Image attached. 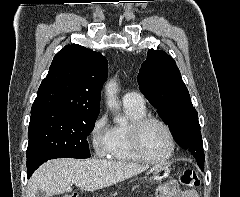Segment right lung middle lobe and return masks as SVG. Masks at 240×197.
Instances as JSON below:
<instances>
[{
  "instance_id": "obj_1",
  "label": "right lung middle lobe",
  "mask_w": 240,
  "mask_h": 197,
  "mask_svg": "<svg viewBox=\"0 0 240 197\" xmlns=\"http://www.w3.org/2000/svg\"><path fill=\"white\" fill-rule=\"evenodd\" d=\"M99 113L42 111L31 113L27 155L28 177L52 158H89L87 136Z\"/></svg>"
}]
</instances>
